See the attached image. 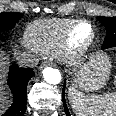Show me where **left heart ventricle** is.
Returning <instances> with one entry per match:
<instances>
[{
	"label": "left heart ventricle",
	"mask_w": 116,
	"mask_h": 116,
	"mask_svg": "<svg viewBox=\"0 0 116 116\" xmlns=\"http://www.w3.org/2000/svg\"><path fill=\"white\" fill-rule=\"evenodd\" d=\"M91 34V28L90 26L83 24L80 25L74 34L72 35V43L75 46H79L82 43H84L90 36Z\"/></svg>",
	"instance_id": "left-heart-ventricle-1"
}]
</instances>
